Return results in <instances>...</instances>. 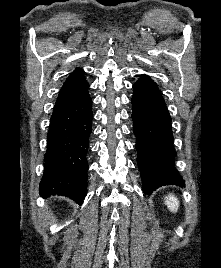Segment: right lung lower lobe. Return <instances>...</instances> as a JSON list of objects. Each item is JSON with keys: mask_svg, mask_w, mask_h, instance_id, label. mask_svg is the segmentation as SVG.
I'll list each match as a JSON object with an SVG mask.
<instances>
[{"mask_svg": "<svg viewBox=\"0 0 221 268\" xmlns=\"http://www.w3.org/2000/svg\"><path fill=\"white\" fill-rule=\"evenodd\" d=\"M89 93L56 103L47 135L45 169L39 192L43 197L66 196L82 204L87 190L86 154L93 113Z\"/></svg>", "mask_w": 221, "mask_h": 268, "instance_id": "1", "label": "right lung lower lobe"}]
</instances>
